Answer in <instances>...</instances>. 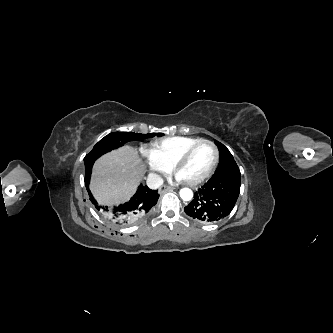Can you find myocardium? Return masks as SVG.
Listing matches in <instances>:
<instances>
[{"instance_id": "1", "label": "myocardium", "mask_w": 333, "mask_h": 333, "mask_svg": "<svg viewBox=\"0 0 333 333\" xmlns=\"http://www.w3.org/2000/svg\"><path fill=\"white\" fill-rule=\"evenodd\" d=\"M202 144H208V145H210L214 149V151H215V159H214V162H213L211 168L204 175H202L201 177H199L197 179H194V180H184V182L187 185H190V186H196V185H199V184L203 183L209 177H211L212 174L217 169V166H218L219 161H220V151H219L218 147L216 146V144L214 142L210 141V140H207V139H200L199 141L195 142L194 144H192L191 146H189L187 149H185L179 155V157L176 159V161L174 162V164L172 166V171L177 176L179 170L187 162L189 156L194 151V149H196L198 146H200Z\"/></svg>"}]
</instances>
